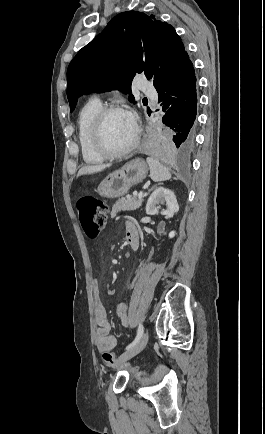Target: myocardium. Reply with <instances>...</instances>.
Returning a JSON list of instances; mask_svg holds the SVG:
<instances>
[{"label": "myocardium", "instance_id": "f54148a6", "mask_svg": "<svg viewBox=\"0 0 265 434\" xmlns=\"http://www.w3.org/2000/svg\"><path fill=\"white\" fill-rule=\"evenodd\" d=\"M117 113H124V110L118 106L103 107L98 113L94 126V141L100 153L106 159H121L132 154L140 145V131L136 130V138L134 143L127 149L122 151L112 150L106 141V126L109 118Z\"/></svg>", "mask_w": 265, "mask_h": 434}]
</instances>
